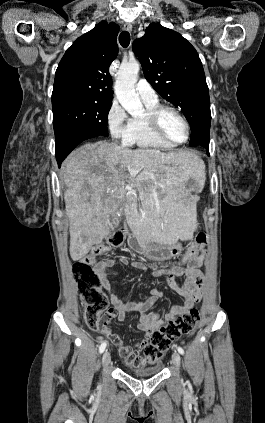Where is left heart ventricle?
<instances>
[{
  "instance_id": "b2bd125f",
  "label": "left heart ventricle",
  "mask_w": 265,
  "mask_h": 423,
  "mask_svg": "<svg viewBox=\"0 0 265 423\" xmlns=\"http://www.w3.org/2000/svg\"><path fill=\"white\" fill-rule=\"evenodd\" d=\"M161 127L163 132L173 141L181 142L186 137V128L183 122L170 111L161 116Z\"/></svg>"
}]
</instances>
